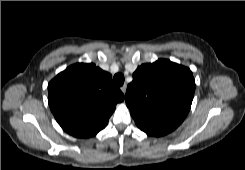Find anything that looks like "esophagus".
Instances as JSON below:
<instances>
[{"label":"esophagus","instance_id":"1","mask_svg":"<svg viewBox=\"0 0 245 170\" xmlns=\"http://www.w3.org/2000/svg\"><path fill=\"white\" fill-rule=\"evenodd\" d=\"M121 91H122V93L125 95V93H126V85H123V86L121 87Z\"/></svg>","mask_w":245,"mask_h":170}]
</instances>
